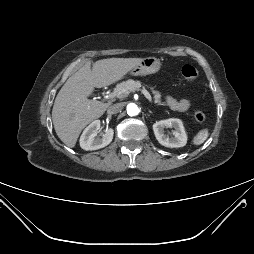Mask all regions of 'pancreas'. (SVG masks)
Masks as SVG:
<instances>
[{"label": "pancreas", "instance_id": "pancreas-1", "mask_svg": "<svg viewBox=\"0 0 254 254\" xmlns=\"http://www.w3.org/2000/svg\"><path fill=\"white\" fill-rule=\"evenodd\" d=\"M141 87H143V89H145L144 86H142L141 82L140 81H134L132 79H129L127 81H124L120 84H118L115 89H114V92H113V96H116L117 98H125L127 97V95L130 93V92H133V91H136V90H139ZM151 91H152V94L154 95V97L159 100L158 102L160 103V99H161V92L158 91V90H154L153 87H150Z\"/></svg>", "mask_w": 254, "mask_h": 254}]
</instances>
